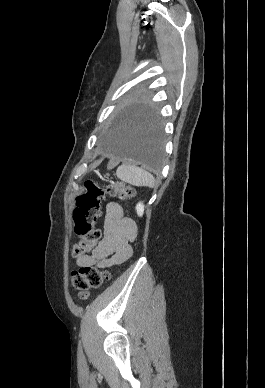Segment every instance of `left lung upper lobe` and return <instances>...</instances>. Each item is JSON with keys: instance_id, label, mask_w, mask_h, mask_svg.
<instances>
[{"instance_id": "1", "label": "left lung upper lobe", "mask_w": 265, "mask_h": 388, "mask_svg": "<svg viewBox=\"0 0 265 388\" xmlns=\"http://www.w3.org/2000/svg\"><path fill=\"white\" fill-rule=\"evenodd\" d=\"M128 108L133 109H150L149 101L145 98V96H140L135 98L129 105Z\"/></svg>"}]
</instances>
